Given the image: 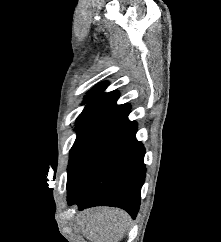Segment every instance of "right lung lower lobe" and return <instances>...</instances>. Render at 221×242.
<instances>
[{
  "instance_id": "1",
  "label": "right lung lower lobe",
  "mask_w": 221,
  "mask_h": 242,
  "mask_svg": "<svg viewBox=\"0 0 221 242\" xmlns=\"http://www.w3.org/2000/svg\"><path fill=\"white\" fill-rule=\"evenodd\" d=\"M130 109L97 128L79 147L68 166L67 202L79 210L115 206L137 216L145 180L144 146L135 138Z\"/></svg>"
}]
</instances>
